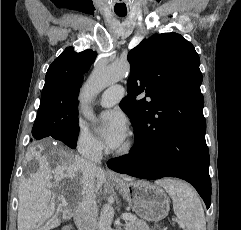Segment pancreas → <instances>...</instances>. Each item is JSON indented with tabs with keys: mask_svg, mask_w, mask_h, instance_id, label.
Masks as SVG:
<instances>
[{
	"mask_svg": "<svg viewBox=\"0 0 241 230\" xmlns=\"http://www.w3.org/2000/svg\"><path fill=\"white\" fill-rule=\"evenodd\" d=\"M125 230H150V229L144 221L136 218L135 220H129V222L126 223Z\"/></svg>",
	"mask_w": 241,
	"mask_h": 230,
	"instance_id": "cf45deb5",
	"label": "pancreas"
}]
</instances>
